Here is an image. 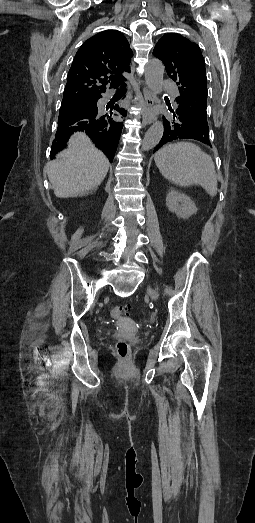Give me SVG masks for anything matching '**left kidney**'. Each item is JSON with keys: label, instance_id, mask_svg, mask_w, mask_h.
<instances>
[{"label": "left kidney", "instance_id": "obj_1", "mask_svg": "<svg viewBox=\"0 0 255 523\" xmlns=\"http://www.w3.org/2000/svg\"><path fill=\"white\" fill-rule=\"evenodd\" d=\"M166 206L170 212H174L178 218H190L193 214H196L197 208L185 194H180L174 188H170L167 198Z\"/></svg>", "mask_w": 255, "mask_h": 523}]
</instances>
